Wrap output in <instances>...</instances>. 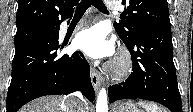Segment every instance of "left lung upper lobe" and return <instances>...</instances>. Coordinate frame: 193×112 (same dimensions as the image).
I'll return each instance as SVG.
<instances>
[{"mask_svg": "<svg viewBox=\"0 0 193 112\" xmlns=\"http://www.w3.org/2000/svg\"><path fill=\"white\" fill-rule=\"evenodd\" d=\"M122 4L126 5L123 20L114 27L126 43H134L146 31L171 26L167 0H123Z\"/></svg>", "mask_w": 193, "mask_h": 112, "instance_id": "5c2ea615", "label": "left lung upper lobe"}]
</instances>
